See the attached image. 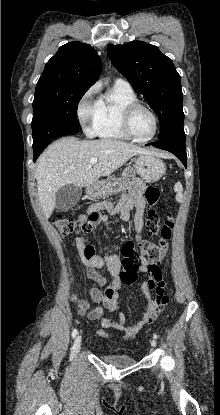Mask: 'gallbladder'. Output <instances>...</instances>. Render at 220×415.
I'll return each mask as SVG.
<instances>
[{
  "label": "gallbladder",
  "instance_id": "bac80fb5",
  "mask_svg": "<svg viewBox=\"0 0 220 415\" xmlns=\"http://www.w3.org/2000/svg\"><path fill=\"white\" fill-rule=\"evenodd\" d=\"M82 195V189L75 185H66L60 188L55 197L56 208L69 210L74 207Z\"/></svg>",
  "mask_w": 220,
  "mask_h": 415
}]
</instances>
